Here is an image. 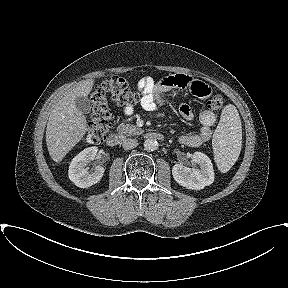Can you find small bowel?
Returning a JSON list of instances; mask_svg holds the SVG:
<instances>
[{
  "mask_svg": "<svg viewBox=\"0 0 288 288\" xmlns=\"http://www.w3.org/2000/svg\"><path fill=\"white\" fill-rule=\"evenodd\" d=\"M138 90L142 92L140 104L143 109L153 111L162 107L165 103L163 94L171 90L189 89L194 95L200 98H209L211 89L203 82L192 79L186 75H174L155 81L151 77H145L139 80ZM134 112L133 106H125L123 113L125 116H131ZM179 113L185 120H192L193 113L190 107L185 103L179 104ZM201 128L198 134H183L179 137V142L189 147H198L208 142L212 135V126L216 122V115L208 108H203L199 113Z\"/></svg>",
  "mask_w": 288,
  "mask_h": 288,
  "instance_id": "obj_1",
  "label": "small bowel"
}]
</instances>
